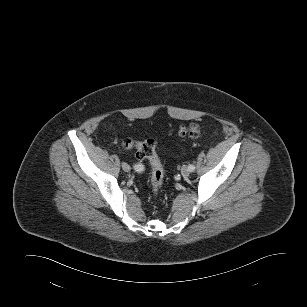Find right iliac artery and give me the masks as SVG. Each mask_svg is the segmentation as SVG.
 I'll return each mask as SVG.
<instances>
[{"label":"right iliac artery","instance_id":"1","mask_svg":"<svg viewBox=\"0 0 307 307\" xmlns=\"http://www.w3.org/2000/svg\"><path fill=\"white\" fill-rule=\"evenodd\" d=\"M134 170L137 171V172H141L144 170V166L142 164H135L133 166Z\"/></svg>","mask_w":307,"mask_h":307}]
</instances>
